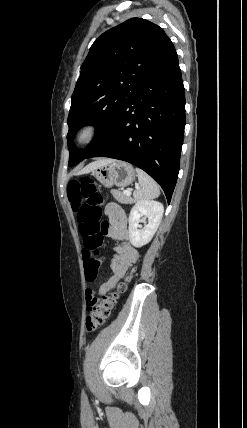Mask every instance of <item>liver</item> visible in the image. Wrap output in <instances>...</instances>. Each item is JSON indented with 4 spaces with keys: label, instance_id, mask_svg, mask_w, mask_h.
<instances>
[{
    "label": "liver",
    "instance_id": "liver-1",
    "mask_svg": "<svg viewBox=\"0 0 247 428\" xmlns=\"http://www.w3.org/2000/svg\"><path fill=\"white\" fill-rule=\"evenodd\" d=\"M113 161H114V160H113V159H110V158H102V159H99V160H97V161H95V162L90 163V164H89V165H87L85 168H83V169L81 170V173H82V174L89 173V172L93 171L94 169H96V168H98V167H100V166H102V165H104V164L111 163V162H113Z\"/></svg>",
    "mask_w": 247,
    "mask_h": 428
}]
</instances>
